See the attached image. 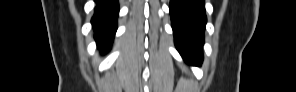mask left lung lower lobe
Here are the masks:
<instances>
[{"mask_svg": "<svg viewBox=\"0 0 296 92\" xmlns=\"http://www.w3.org/2000/svg\"><path fill=\"white\" fill-rule=\"evenodd\" d=\"M169 8L177 50L187 63L200 66L207 21L204 0H170Z\"/></svg>", "mask_w": 296, "mask_h": 92, "instance_id": "0a47b994", "label": "left lung lower lobe"}]
</instances>
